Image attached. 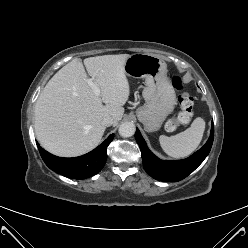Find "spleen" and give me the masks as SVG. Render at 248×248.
<instances>
[{"mask_svg":"<svg viewBox=\"0 0 248 248\" xmlns=\"http://www.w3.org/2000/svg\"><path fill=\"white\" fill-rule=\"evenodd\" d=\"M205 130L203 118H196L191 127L174 136L161 135L160 145L163 151L173 158H183L193 153L199 146Z\"/></svg>","mask_w":248,"mask_h":248,"instance_id":"obj_1","label":"spleen"}]
</instances>
